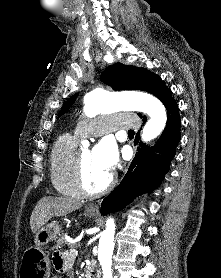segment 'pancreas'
<instances>
[{
	"label": "pancreas",
	"instance_id": "cf45deb5",
	"mask_svg": "<svg viewBox=\"0 0 221 278\" xmlns=\"http://www.w3.org/2000/svg\"><path fill=\"white\" fill-rule=\"evenodd\" d=\"M65 244H67V241H66V239H65V237H60V238H58L57 239V241H56V247L58 248H61V247H63ZM70 247H75L76 245H73V244H68Z\"/></svg>",
	"mask_w": 221,
	"mask_h": 278
}]
</instances>
